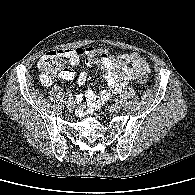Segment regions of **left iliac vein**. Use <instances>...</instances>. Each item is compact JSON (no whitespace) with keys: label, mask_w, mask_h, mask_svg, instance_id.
<instances>
[{"label":"left iliac vein","mask_w":195,"mask_h":195,"mask_svg":"<svg viewBox=\"0 0 195 195\" xmlns=\"http://www.w3.org/2000/svg\"><path fill=\"white\" fill-rule=\"evenodd\" d=\"M110 111L113 112V113H116L120 110V106L118 104H112L110 105Z\"/></svg>","instance_id":"left-iliac-vein-1"}]
</instances>
